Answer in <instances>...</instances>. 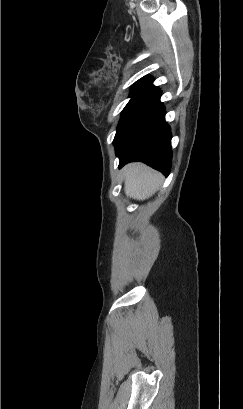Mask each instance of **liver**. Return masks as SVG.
<instances>
[{
	"label": "liver",
	"mask_w": 243,
	"mask_h": 409,
	"mask_svg": "<svg viewBox=\"0 0 243 409\" xmlns=\"http://www.w3.org/2000/svg\"><path fill=\"white\" fill-rule=\"evenodd\" d=\"M124 190L127 196L145 200L160 187L163 176L143 163H130L123 168Z\"/></svg>",
	"instance_id": "liver-1"
}]
</instances>
